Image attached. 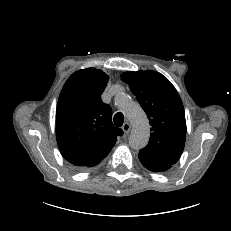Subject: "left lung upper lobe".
<instances>
[{
  "label": "left lung upper lobe",
  "instance_id": "1",
  "mask_svg": "<svg viewBox=\"0 0 231 231\" xmlns=\"http://www.w3.org/2000/svg\"><path fill=\"white\" fill-rule=\"evenodd\" d=\"M121 78L136 95L151 125L149 143L139 155L172 166L179 160L186 138L185 112L178 92L155 71L125 72Z\"/></svg>",
  "mask_w": 231,
  "mask_h": 231
}]
</instances>
